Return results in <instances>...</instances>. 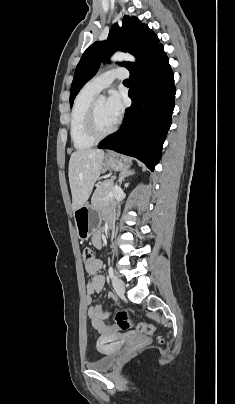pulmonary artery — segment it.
Here are the masks:
<instances>
[{
  "instance_id": "1",
  "label": "pulmonary artery",
  "mask_w": 235,
  "mask_h": 404,
  "mask_svg": "<svg viewBox=\"0 0 235 404\" xmlns=\"http://www.w3.org/2000/svg\"><path fill=\"white\" fill-rule=\"evenodd\" d=\"M128 77V70L125 68H115L104 72L88 81L84 90L93 94H98L108 88L115 79H125Z\"/></svg>"
}]
</instances>
